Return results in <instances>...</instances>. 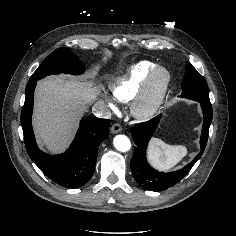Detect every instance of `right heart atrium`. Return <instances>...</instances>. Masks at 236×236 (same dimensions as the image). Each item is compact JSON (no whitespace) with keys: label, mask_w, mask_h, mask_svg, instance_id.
I'll list each match as a JSON object with an SVG mask.
<instances>
[{"label":"right heart atrium","mask_w":236,"mask_h":236,"mask_svg":"<svg viewBox=\"0 0 236 236\" xmlns=\"http://www.w3.org/2000/svg\"><path fill=\"white\" fill-rule=\"evenodd\" d=\"M107 102H108V105L110 106V108L111 109H115L116 108V106H115V101H114V99L113 98H111V97H107Z\"/></svg>","instance_id":"1"}]
</instances>
